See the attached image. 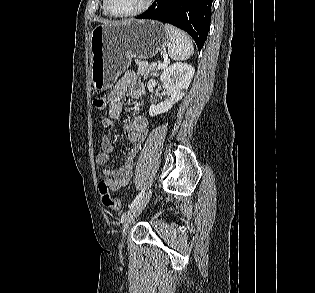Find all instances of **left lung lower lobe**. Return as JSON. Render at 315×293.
Wrapping results in <instances>:
<instances>
[{
    "instance_id": "obj_1",
    "label": "left lung lower lobe",
    "mask_w": 315,
    "mask_h": 293,
    "mask_svg": "<svg viewBox=\"0 0 315 293\" xmlns=\"http://www.w3.org/2000/svg\"><path fill=\"white\" fill-rule=\"evenodd\" d=\"M212 0H155L137 19H155L173 24L189 33L199 51L210 26Z\"/></svg>"
}]
</instances>
